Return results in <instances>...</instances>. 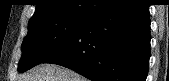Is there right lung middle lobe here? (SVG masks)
<instances>
[{
	"mask_svg": "<svg viewBox=\"0 0 169 81\" xmlns=\"http://www.w3.org/2000/svg\"><path fill=\"white\" fill-rule=\"evenodd\" d=\"M87 20V17L64 15L29 22L18 71L23 73L42 63L69 42Z\"/></svg>",
	"mask_w": 169,
	"mask_h": 81,
	"instance_id": "right-lung-middle-lobe-1",
	"label": "right lung middle lobe"
}]
</instances>
